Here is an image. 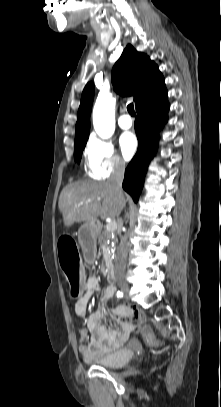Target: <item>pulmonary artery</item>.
I'll list each match as a JSON object with an SVG mask.
<instances>
[{"label":"pulmonary artery","instance_id":"e3ab8cb5","mask_svg":"<svg viewBox=\"0 0 221 407\" xmlns=\"http://www.w3.org/2000/svg\"><path fill=\"white\" fill-rule=\"evenodd\" d=\"M118 124L122 129H129L132 127L133 121L128 114L124 113L119 117Z\"/></svg>","mask_w":221,"mask_h":407}]
</instances>
